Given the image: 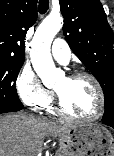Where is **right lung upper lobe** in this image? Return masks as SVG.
Returning <instances> with one entry per match:
<instances>
[{"instance_id":"obj_1","label":"right lung upper lobe","mask_w":114,"mask_h":156,"mask_svg":"<svg viewBox=\"0 0 114 156\" xmlns=\"http://www.w3.org/2000/svg\"><path fill=\"white\" fill-rule=\"evenodd\" d=\"M37 19V0H0V58L24 60L25 36Z\"/></svg>"}]
</instances>
